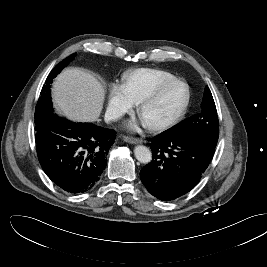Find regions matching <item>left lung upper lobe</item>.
Returning a JSON list of instances; mask_svg holds the SVG:
<instances>
[{"instance_id":"5c2ea615","label":"left lung upper lobe","mask_w":267,"mask_h":267,"mask_svg":"<svg viewBox=\"0 0 267 267\" xmlns=\"http://www.w3.org/2000/svg\"><path fill=\"white\" fill-rule=\"evenodd\" d=\"M164 133L174 136L197 135L209 145L216 147L219 136V123L216 106L208 86L205 87L200 113L185 119Z\"/></svg>"}]
</instances>
